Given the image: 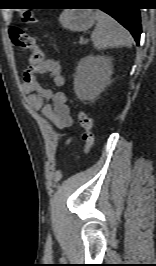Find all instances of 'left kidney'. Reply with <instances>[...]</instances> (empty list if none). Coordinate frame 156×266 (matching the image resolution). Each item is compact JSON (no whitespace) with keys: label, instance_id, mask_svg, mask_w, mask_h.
Here are the masks:
<instances>
[{"label":"left kidney","instance_id":"left-kidney-1","mask_svg":"<svg viewBox=\"0 0 156 266\" xmlns=\"http://www.w3.org/2000/svg\"><path fill=\"white\" fill-rule=\"evenodd\" d=\"M112 59L86 56L78 63L74 77V91L81 101H93L105 89L112 75Z\"/></svg>","mask_w":156,"mask_h":266}]
</instances>
